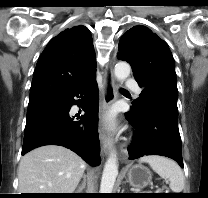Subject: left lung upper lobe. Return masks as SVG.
<instances>
[{
	"label": "left lung upper lobe",
	"mask_w": 208,
	"mask_h": 198,
	"mask_svg": "<svg viewBox=\"0 0 208 198\" xmlns=\"http://www.w3.org/2000/svg\"><path fill=\"white\" fill-rule=\"evenodd\" d=\"M117 57L127 61L143 89L130 112L156 102L178 115L177 82L173 56L167 44L145 26H134L119 42Z\"/></svg>",
	"instance_id": "1"
}]
</instances>
